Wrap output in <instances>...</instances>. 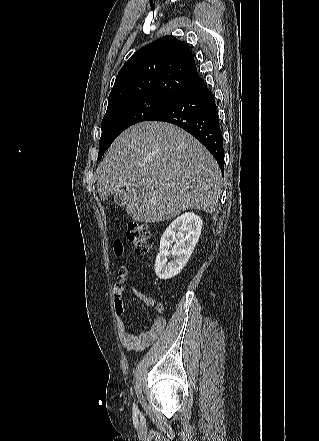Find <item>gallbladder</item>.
<instances>
[{"label": "gallbladder", "instance_id": "bac80fb5", "mask_svg": "<svg viewBox=\"0 0 319 441\" xmlns=\"http://www.w3.org/2000/svg\"><path fill=\"white\" fill-rule=\"evenodd\" d=\"M114 201L118 206H124L127 202L126 192L123 189H120L114 195Z\"/></svg>", "mask_w": 319, "mask_h": 441}]
</instances>
